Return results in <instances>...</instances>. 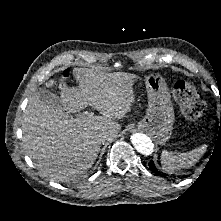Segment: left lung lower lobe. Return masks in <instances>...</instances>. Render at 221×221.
<instances>
[{
	"instance_id": "obj_1",
	"label": "left lung lower lobe",
	"mask_w": 221,
	"mask_h": 221,
	"mask_svg": "<svg viewBox=\"0 0 221 221\" xmlns=\"http://www.w3.org/2000/svg\"><path fill=\"white\" fill-rule=\"evenodd\" d=\"M149 168L151 169V171L153 173L159 174V172H158L157 168L155 167V164L153 163V161L149 162ZM162 175H165V174H162Z\"/></svg>"
}]
</instances>
